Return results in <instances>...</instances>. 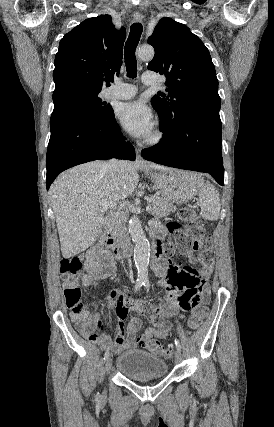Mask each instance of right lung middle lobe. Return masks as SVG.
<instances>
[{
  "instance_id": "right-lung-middle-lobe-1",
  "label": "right lung middle lobe",
  "mask_w": 274,
  "mask_h": 427,
  "mask_svg": "<svg viewBox=\"0 0 274 427\" xmlns=\"http://www.w3.org/2000/svg\"><path fill=\"white\" fill-rule=\"evenodd\" d=\"M112 112L113 109L98 97V93L67 95L54 104V110L50 119V128L52 131L58 122L76 116H88L99 119Z\"/></svg>"
}]
</instances>
